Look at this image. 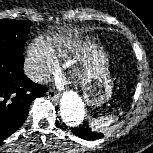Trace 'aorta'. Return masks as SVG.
I'll use <instances>...</instances> for the list:
<instances>
[{"label":"aorta","mask_w":153,"mask_h":153,"mask_svg":"<svg viewBox=\"0 0 153 153\" xmlns=\"http://www.w3.org/2000/svg\"><path fill=\"white\" fill-rule=\"evenodd\" d=\"M60 115L68 126L80 125L85 117L84 103L77 93L68 91L60 100Z\"/></svg>","instance_id":"762f6f07"}]
</instances>
